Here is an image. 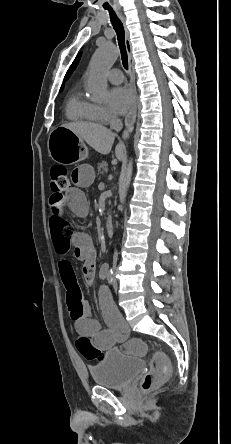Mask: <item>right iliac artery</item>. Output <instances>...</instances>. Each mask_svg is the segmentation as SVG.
Masks as SVG:
<instances>
[{
	"mask_svg": "<svg viewBox=\"0 0 231 444\" xmlns=\"http://www.w3.org/2000/svg\"><path fill=\"white\" fill-rule=\"evenodd\" d=\"M113 279H114L113 271L110 270V271H108V273H107V280H108L109 284H112V283H113Z\"/></svg>",
	"mask_w": 231,
	"mask_h": 444,
	"instance_id": "1",
	"label": "right iliac artery"
}]
</instances>
